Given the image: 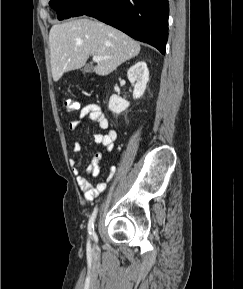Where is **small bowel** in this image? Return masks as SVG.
I'll return each mask as SVG.
<instances>
[{"mask_svg":"<svg viewBox=\"0 0 243 289\" xmlns=\"http://www.w3.org/2000/svg\"><path fill=\"white\" fill-rule=\"evenodd\" d=\"M91 120L98 124L99 128L102 130H107L105 133H96L93 136V141L96 144H100L104 147L106 151H111L114 148V143L117 139V132L109 128V121L105 116L102 108L97 104H88L81 108L78 116L70 121L69 129L77 130L81 124L86 121ZM82 149V144L76 142L73 145V151L79 152ZM101 153H97L92 159L91 163L86 167V172L91 176H98L100 172L99 161L101 159ZM70 164L73 168V172L76 176L77 184L82 191L84 198L87 202L93 201L97 198L107 186L106 182H99L96 185H93L91 181L80 174L79 169L76 166V161L74 159L70 160ZM115 174V168L110 170V173L107 177V180H111Z\"/></svg>","mask_w":243,"mask_h":289,"instance_id":"1","label":"small bowel"}]
</instances>
